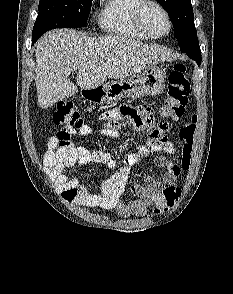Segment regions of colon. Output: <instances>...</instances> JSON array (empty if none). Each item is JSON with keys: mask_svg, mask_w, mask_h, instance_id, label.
<instances>
[{"mask_svg": "<svg viewBox=\"0 0 233 294\" xmlns=\"http://www.w3.org/2000/svg\"><path fill=\"white\" fill-rule=\"evenodd\" d=\"M189 92L190 83L186 76V66L180 62L176 63L169 74L166 94L159 111L160 115L172 119L181 118L188 103ZM52 119L56 125L64 126V128L79 129L84 124L82 117L70 102L59 103ZM196 123L197 117L193 116L184 123L179 131L182 154L181 168L183 170H188L190 167ZM57 137L60 147L70 143V134L67 132L60 131L57 133ZM180 195L181 190L177 187L165 188L154 197V212L159 214L168 210L178 201Z\"/></svg>", "mask_w": 233, "mask_h": 294, "instance_id": "obj_1", "label": "colon"}]
</instances>
